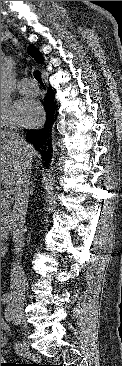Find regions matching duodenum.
I'll list each match as a JSON object with an SVG mask.
<instances>
[{
  "mask_svg": "<svg viewBox=\"0 0 122 366\" xmlns=\"http://www.w3.org/2000/svg\"><path fill=\"white\" fill-rule=\"evenodd\" d=\"M6 252H7V247H6V245L1 244V257H2L4 254H6Z\"/></svg>",
  "mask_w": 122,
  "mask_h": 366,
  "instance_id": "duodenum-1",
  "label": "duodenum"
}]
</instances>
